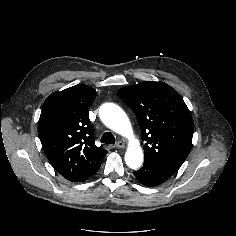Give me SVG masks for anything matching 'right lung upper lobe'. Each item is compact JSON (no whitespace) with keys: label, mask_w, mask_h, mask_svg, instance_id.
I'll return each mask as SVG.
<instances>
[{"label":"right lung upper lobe","mask_w":236,"mask_h":236,"mask_svg":"<svg viewBox=\"0 0 236 236\" xmlns=\"http://www.w3.org/2000/svg\"><path fill=\"white\" fill-rule=\"evenodd\" d=\"M95 97V90L83 84L54 92L45 100L38 122L39 138L49 162L72 182L94 174L107 153L95 145L87 113Z\"/></svg>","instance_id":"cb5924a9"}]
</instances>
